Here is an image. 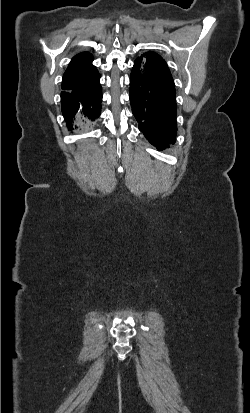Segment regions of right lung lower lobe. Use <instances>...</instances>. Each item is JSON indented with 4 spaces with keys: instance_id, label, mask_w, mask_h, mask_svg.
<instances>
[{
    "instance_id": "1",
    "label": "right lung lower lobe",
    "mask_w": 250,
    "mask_h": 413,
    "mask_svg": "<svg viewBox=\"0 0 250 413\" xmlns=\"http://www.w3.org/2000/svg\"><path fill=\"white\" fill-rule=\"evenodd\" d=\"M100 74L96 71L79 84H62V113L68 129L91 126L101 113L102 89Z\"/></svg>"
}]
</instances>
